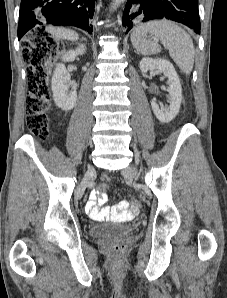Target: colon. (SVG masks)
<instances>
[{"mask_svg": "<svg viewBox=\"0 0 227 298\" xmlns=\"http://www.w3.org/2000/svg\"><path fill=\"white\" fill-rule=\"evenodd\" d=\"M39 39H31L34 43H26L23 49L24 59L28 64L27 71V100H26V125L29 130L39 139L46 140L48 132V109L51 91L48 86L47 71L43 65V59L49 53V48L53 41L43 31H36ZM110 189L106 180L98 186V191ZM134 207H142V202H137L136 197L132 196ZM113 254L119 255L125 251L123 244H114L110 247Z\"/></svg>", "mask_w": 227, "mask_h": 298, "instance_id": "1", "label": "colon"}]
</instances>
